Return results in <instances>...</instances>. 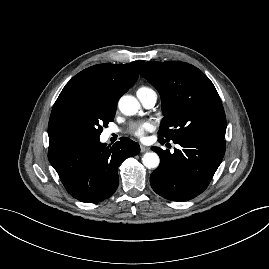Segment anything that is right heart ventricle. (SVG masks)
<instances>
[{
  "label": "right heart ventricle",
  "instance_id": "1",
  "mask_svg": "<svg viewBox=\"0 0 269 269\" xmlns=\"http://www.w3.org/2000/svg\"><path fill=\"white\" fill-rule=\"evenodd\" d=\"M153 90L148 87V86H141L138 90H137V95H143L146 94L148 92H152Z\"/></svg>",
  "mask_w": 269,
  "mask_h": 269
}]
</instances>
